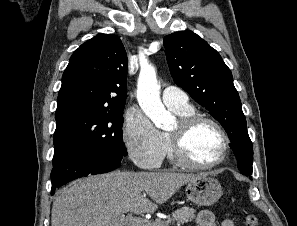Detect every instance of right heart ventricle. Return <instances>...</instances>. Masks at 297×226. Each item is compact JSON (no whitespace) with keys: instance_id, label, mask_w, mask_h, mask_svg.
Here are the masks:
<instances>
[{"instance_id":"obj_1","label":"right heart ventricle","mask_w":297,"mask_h":226,"mask_svg":"<svg viewBox=\"0 0 297 226\" xmlns=\"http://www.w3.org/2000/svg\"><path fill=\"white\" fill-rule=\"evenodd\" d=\"M170 109L180 117H186V116L195 114L194 108L192 106H189L188 108H183V109H177V108H170ZM162 135L166 144V154L168 155L171 161H175L168 137L166 134H162Z\"/></svg>"}]
</instances>
